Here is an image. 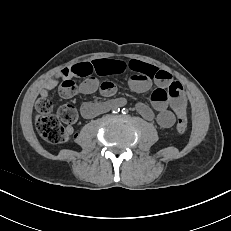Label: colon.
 Segmentation results:
<instances>
[{"mask_svg": "<svg viewBox=\"0 0 231 231\" xmlns=\"http://www.w3.org/2000/svg\"><path fill=\"white\" fill-rule=\"evenodd\" d=\"M76 91V84L72 76L66 77L60 87V94L70 97ZM77 120V111L71 105H62L56 113L53 112L51 101L43 100L37 106L35 126L39 135L51 144H63L69 140V132L64 124L71 125ZM187 129L186 116L178 117L175 130L182 134Z\"/></svg>", "mask_w": 231, "mask_h": 231, "instance_id": "5ec220e1", "label": "colon"}]
</instances>
